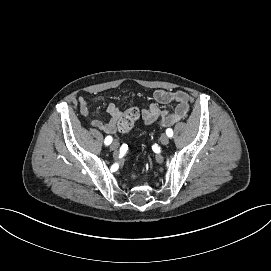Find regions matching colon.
<instances>
[{
	"label": "colon",
	"instance_id": "5ec220e1",
	"mask_svg": "<svg viewBox=\"0 0 271 271\" xmlns=\"http://www.w3.org/2000/svg\"><path fill=\"white\" fill-rule=\"evenodd\" d=\"M139 117V111L136 108L127 109L118 122V129L121 132L130 131ZM135 177V176H133Z\"/></svg>",
	"mask_w": 271,
	"mask_h": 271
}]
</instances>
